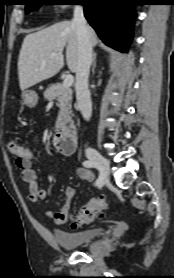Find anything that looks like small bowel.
Here are the masks:
<instances>
[{
	"mask_svg": "<svg viewBox=\"0 0 174 278\" xmlns=\"http://www.w3.org/2000/svg\"><path fill=\"white\" fill-rule=\"evenodd\" d=\"M33 158L20 159L16 158V165L20 169L22 180L28 184L29 200L33 203L44 200L47 196L46 190L39 187L38 176L32 166ZM77 176L87 183L94 182V174L91 170L80 167L76 170ZM75 189L68 187L64 191V201L56 212H47L46 215L50 217L57 225H62L68 220L69 212L75 197Z\"/></svg>",
	"mask_w": 174,
	"mask_h": 278,
	"instance_id": "small-bowel-1",
	"label": "small bowel"
}]
</instances>
